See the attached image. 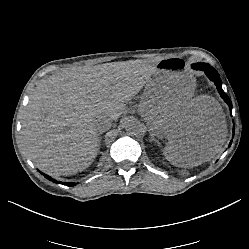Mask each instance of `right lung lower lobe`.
<instances>
[{
	"label": "right lung lower lobe",
	"instance_id": "obj_1",
	"mask_svg": "<svg viewBox=\"0 0 249 249\" xmlns=\"http://www.w3.org/2000/svg\"><path fill=\"white\" fill-rule=\"evenodd\" d=\"M41 174L44 175V176H45L47 179H49L50 181L55 182V183H59L58 181L52 179L50 176L45 175V174H43V173H41ZM62 184H63V185H67V186H74V185H75V183H73V182H70V183H62Z\"/></svg>",
	"mask_w": 249,
	"mask_h": 249
}]
</instances>
